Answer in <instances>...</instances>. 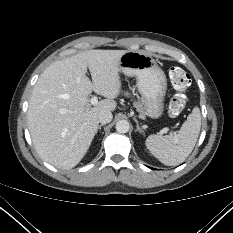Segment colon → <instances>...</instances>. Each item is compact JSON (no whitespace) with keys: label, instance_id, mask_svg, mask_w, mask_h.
<instances>
[{"label":"colon","instance_id":"5ec220e1","mask_svg":"<svg viewBox=\"0 0 233 233\" xmlns=\"http://www.w3.org/2000/svg\"><path fill=\"white\" fill-rule=\"evenodd\" d=\"M169 79L176 91L169 103V113L172 116H177L183 112L187 104V97L184 94L191 85L189 74L179 66H173L169 69Z\"/></svg>","mask_w":233,"mask_h":233}]
</instances>
